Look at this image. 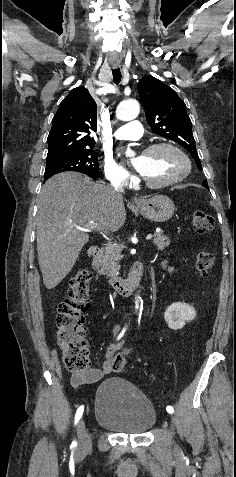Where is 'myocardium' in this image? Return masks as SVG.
Returning <instances> with one entry per match:
<instances>
[{"label":"myocardium","mask_w":236,"mask_h":477,"mask_svg":"<svg viewBox=\"0 0 236 477\" xmlns=\"http://www.w3.org/2000/svg\"><path fill=\"white\" fill-rule=\"evenodd\" d=\"M160 148H169V149L173 150L174 152H176L178 155H180L183 158V160L185 161V170L180 175H178V176H176L172 179L163 181V182H151V181L145 179L141 174H139V180L145 186H147L149 188H152V189H161V188H166V187L178 184L181 181H183L190 174V172L192 170V163H191V160L188 157V155L179 146H177L176 144H174L172 142L161 141V142L153 143V144L147 146L143 150L142 155L151 153V152H153L155 150H158Z\"/></svg>","instance_id":"myocardium-1"}]
</instances>
